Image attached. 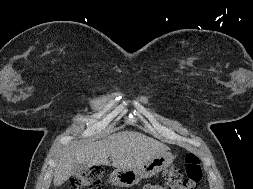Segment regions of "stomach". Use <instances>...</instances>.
I'll return each mask as SVG.
<instances>
[{
    "instance_id": "obj_1",
    "label": "stomach",
    "mask_w": 253,
    "mask_h": 189,
    "mask_svg": "<svg viewBox=\"0 0 253 189\" xmlns=\"http://www.w3.org/2000/svg\"><path fill=\"white\" fill-rule=\"evenodd\" d=\"M174 160L173 154L164 152L133 169H116L110 175V181L120 187H131L143 178H150L168 168Z\"/></svg>"
}]
</instances>
